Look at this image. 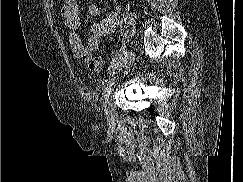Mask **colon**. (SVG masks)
Listing matches in <instances>:
<instances>
[{
  "label": "colon",
  "instance_id": "1",
  "mask_svg": "<svg viewBox=\"0 0 243 182\" xmlns=\"http://www.w3.org/2000/svg\"><path fill=\"white\" fill-rule=\"evenodd\" d=\"M103 65V59L100 56H94L88 61L89 69L95 72H101Z\"/></svg>",
  "mask_w": 243,
  "mask_h": 182
}]
</instances>
